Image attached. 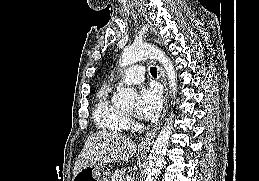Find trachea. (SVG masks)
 Segmentation results:
<instances>
[{"label":"trachea","instance_id":"3493384b","mask_svg":"<svg viewBox=\"0 0 259 181\" xmlns=\"http://www.w3.org/2000/svg\"><path fill=\"white\" fill-rule=\"evenodd\" d=\"M150 73H151L152 76H156V75H157V69H156V67H151V68H150Z\"/></svg>","mask_w":259,"mask_h":181}]
</instances>
